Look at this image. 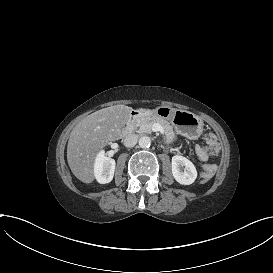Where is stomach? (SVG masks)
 <instances>
[{"instance_id": "0dacf381", "label": "stomach", "mask_w": 273, "mask_h": 273, "mask_svg": "<svg viewBox=\"0 0 273 273\" xmlns=\"http://www.w3.org/2000/svg\"><path fill=\"white\" fill-rule=\"evenodd\" d=\"M149 113L168 120L177 134L187 139L196 140L203 133V120L192 112L159 106Z\"/></svg>"}]
</instances>
